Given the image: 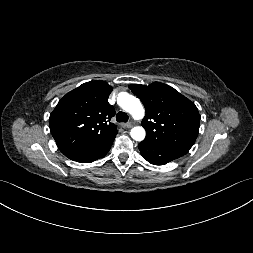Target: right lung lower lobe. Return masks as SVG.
<instances>
[{
    "label": "right lung lower lobe",
    "mask_w": 253,
    "mask_h": 253,
    "mask_svg": "<svg viewBox=\"0 0 253 253\" xmlns=\"http://www.w3.org/2000/svg\"><path fill=\"white\" fill-rule=\"evenodd\" d=\"M115 136L110 137L95 145L80 149L67 157L80 163H90L99 158H103L110 150Z\"/></svg>",
    "instance_id": "obj_1"
}]
</instances>
